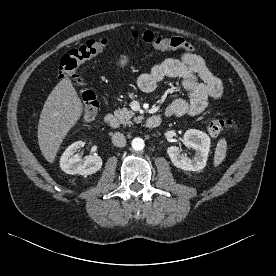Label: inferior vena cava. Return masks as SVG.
<instances>
[{"label": "inferior vena cava", "instance_id": "1", "mask_svg": "<svg viewBox=\"0 0 276 276\" xmlns=\"http://www.w3.org/2000/svg\"><path fill=\"white\" fill-rule=\"evenodd\" d=\"M112 143L116 147H124L126 145V138L120 132H115L112 135Z\"/></svg>", "mask_w": 276, "mask_h": 276}]
</instances>
